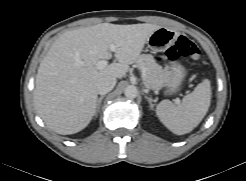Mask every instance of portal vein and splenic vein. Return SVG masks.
I'll return each mask as SVG.
<instances>
[{"label":"portal vein and splenic vein","instance_id":"18ae733b","mask_svg":"<svg viewBox=\"0 0 246 181\" xmlns=\"http://www.w3.org/2000/svg\"><path fill=\"white\" fill-rule=\"evenodd\" d=\"M118 46L115 44H111L110 45V50L111 52H115L117 50ZM108 65V61L107 60H100L97 62V68L98 69H103L104 67H106Z\"/></svg>","mask_w":246,"mask_h":181}]
</instances>
